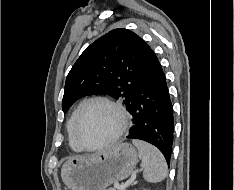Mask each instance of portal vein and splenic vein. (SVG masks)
<instances>
[{"mask_svg": "<svg viewBox=\"0 0 234 190\" xmlns=\"http://www.w3.org/2000/svg\"><path fill=\"white\" fill-rule=\"evenodd\" d=\"M116 189H124V186H121L119 183H114Z\"/></svg>", "mask_w": 234, "mask_h": 190, "instance_id": "18ae733b", "label": "portal vein and splenic vein"}]
</instances>
